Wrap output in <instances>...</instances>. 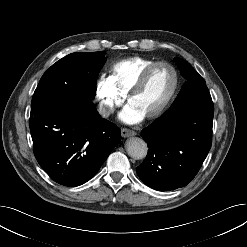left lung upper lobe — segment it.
Returning <instances> with one entry per match:
<instances>
[{
  "mask_svg": "<svg viewBox=\"0 0 247 247\" xmlns=\"http://www.w3.org/2000/svg\"><path fill=\"white\" fill-rule=\"evenodd\" d=\"M175 61L180 69L182 76L187 80L185 84L182 86L178 96L173 102L170 108H174L175 106L181 104L198 90L203 87H206L204 79L191 67V65L181 59L175 58Z\"/></svg>",
  "mask_w": 247,
  "mask_h": 247,
  "instance_id": "obj_1",
  "label": "left lung upper lobe"
}]
</instances>
